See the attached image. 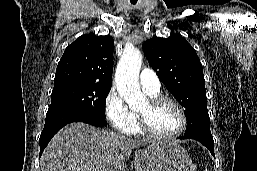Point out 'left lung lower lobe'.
<instances>
[{"label": "left lung lower lobe", "instance_id": "1", "mask_svg": "<svg viewBox=\"0 0 257 171\" xmlns=\"http://www.w3.org/2000/svg\"><path fill=\"white\" fill-rule=\"evenodd\" d=\"M179 139H194L202 143L204 146H206L211 154L215 157L214 154V140L212 135H204V134H188L179 137Z\"/></svg>", "mask_w": 257, "mask_h": 171}]
</instances>
